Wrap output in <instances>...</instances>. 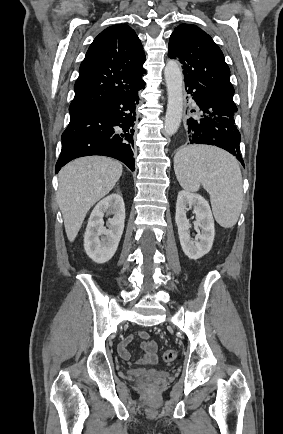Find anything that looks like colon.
<instances>
[{"label": "colon", "mask_w": 283, "mask_h": 434, "mask_svg": "<svg viewBox=\"0 0 283 434\" xmlns=\"http://www.w3.org/2000/svg\"><path fill=\"white\" fill-rule=\"evenodd\" d=\"M176 357H177V352L174 349H168L163 353V360L165 362H172L176 359ZM140 382L146 385L147 387H152L155 381L152 377L144 376L140 379Z\"/></svg>", "instance_id": "colon-1"}]
</instances>
